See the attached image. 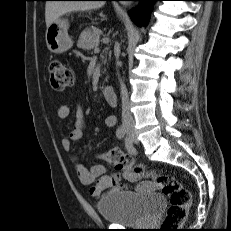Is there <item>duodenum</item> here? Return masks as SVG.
I'll return each instance as SVG.
<instances>
[{"mask_svg":"<svg viewBox=\"0 0 231 231\" xmlns=\"http://www.w3.org/2000/svg\"><path fill=\"white\" fill-rule=\"evenodd\" d=\"M102 92H103L105 100L108 102L110 106H113V107L117 106L118 98H117V93L114 88L110 86H106L103 88Z\"/></svg>","mask_w":231,"mask_h":231,"instance_id":"duodenum-1","label":"duodenum"}]
</instances>
